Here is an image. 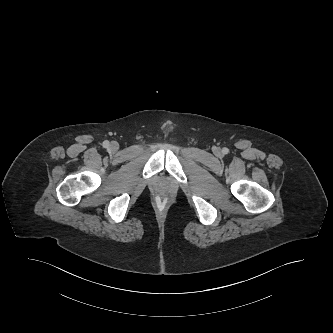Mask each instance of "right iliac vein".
I'll return each instance as SVG.
<instances>
[{
	"label": "right iliac vein",
	"mask_w": 333,
	"mask_h": 333,
	"mask_svg": "<svg viewBox=\"0 0 333 333\" xmlns=\"http://www.w3.org/2000/svg\"><path fill=\"white\" fill-rule=\"evenodd\" d=\"M110 149L111 151L115 152L119 149V144L116 141H113L110 143Z\"/></svg>",
	"instance_id": "right-iliac-vein-1"
}]
</instances>
